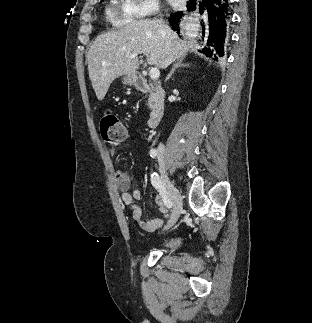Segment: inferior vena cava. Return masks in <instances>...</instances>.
<instances>
[{
  "mask_svg": "<svg viewBox=\"0 0 312 323\" xmlns=\"http://www.w3.org/2000/svg\"><path fill=\"white\" fill-rule=\"evenodd\" d=\"M159 22H161V20H159ZM161 24H164V22H161ZM164 28H169V26H164ZM160 146H162V144H160Z\"/></svg>",
  "mask_w": 312,
  "mask_h": 323,
  "instance_id": "obj_1",
  "label": "inferior vena cava"
}]
</instances>
